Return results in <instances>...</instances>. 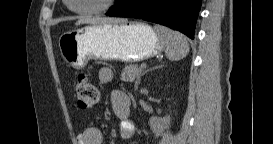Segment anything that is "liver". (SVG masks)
<instances>
[{"label":"liver","mask_w":273,"mask_h":144,"mask_svg":"<svg viewBox=\"0 0 273 144\" xmlns=\"http://www.w3.org/2000/svg\"><path fill=\"white\" fill-rule=\"evenodd\" d=\"M84 23L89 24H101V23H126L124 19H111V18H80L75 25H81Z\"/></svg>","instance_id":"6515ba94"}]
</instances>
